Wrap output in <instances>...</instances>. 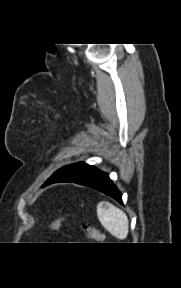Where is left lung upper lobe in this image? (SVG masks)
<instances>
[{
    "instance_id": "obj_1",
    "label": "left lung upper lobe",
    "mask_w": 181,
    "mask_h": 288,
    "mask_svg": "<svg viewBox=\"0 0 181 288\" xmlns=\"http://www.w3.org/2000/svg\"><path fill=\"white\" fill-rule=\"evenodd\" d=\"M97 170L94 166L79 162L60 168L47 181L78 183Z\"/></svg>"
}]
</instances>
